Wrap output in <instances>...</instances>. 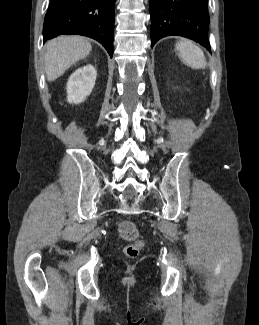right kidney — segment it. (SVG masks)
Returning <instances> with one entry per match:
<instances>
[{
  "label": "right kidney",
  "instance_id": "ca27d5eb",
  "mask_svg": "<svg viewBox=\"0 0 259 325\" xmlns=\"http://www.w3.org/2000/svg\"><path fill=\"white\" fill-rule=\"evenodd\" d=\"M97 72L93 65L78 68L68 79L67 101L79 104L89 96L94 88Z\"/></svg>",
  "mask_w": 259,
  "mask_h": 325
}]
</instances>
